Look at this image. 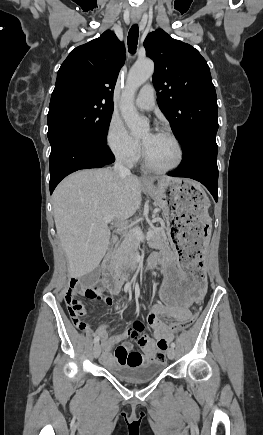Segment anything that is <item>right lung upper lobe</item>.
Instances as JSON below:
<instances>
[{"label":"right lung upper lobe","mask_w":263,"mask_h":435,"mask_svg":"<svg viewBox=\"0 0 263 435\" xmlns=\"http://www.w3.org/2000/svg\"><path fill=\"white\" fill-rule=\"evenodd\" d=\"M124 61V44L110 30L78 46L58 71L49 106L73 100L113 103L114 87Z\"/></svg>","instance_id":"1"}]
</instances>
